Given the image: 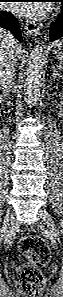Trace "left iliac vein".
Masks as SVG:
<instances>
[{
  "label": "left iliac vein",
  "mask_w": 63,
  "mask_h": 297,
  "mask_svg": "<svg viewBox=\"0 0 63 297\" xmlns=\"http://www.w3.org/2000/svg\"><path fill=\"white\" fill-rule=\"evenodd\" d=\"M39 215L41 219L47 224L50 233L56 237L58 234V231L50 214L45 209H40Z\"/></svg>",
  "instance_id": "obj_1"
}]
</instances>
